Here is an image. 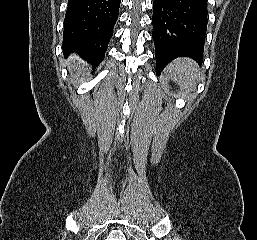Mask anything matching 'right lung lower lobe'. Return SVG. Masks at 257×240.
Returning <instances> with one entry per match:
<instances>
[{
	"mask_svg": "<svg viewBox=\"0 0 257 240\" xmlns=\"http://www.w3.org/2000/svg\"><path fill=\"white\" fill-rule=\"evenodd\" d=\"M121 0H68L63 52L77 49L81 58L98 66L107 51Z\"/></svg>",
	"mask_w": 257,
	"mask_h": 240,
	"instance_id": "98d812e1",
	"label": "right lung lower lobe"
}]
</instances>
